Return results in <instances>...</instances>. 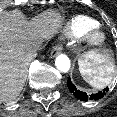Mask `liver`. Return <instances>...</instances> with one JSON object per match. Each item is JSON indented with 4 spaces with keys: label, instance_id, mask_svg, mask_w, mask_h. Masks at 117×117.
I'll list each match as a JSON object with an SVG mask.
<instances>
[{
    "label": "liver",
    "instance_id": "obj_1",
    "mask_svg": "<svg viewBox=\"0 0 117 117\" xmlns=\"http://www.w3.org/2000/svg\"><path fill=\"white\" fill-rule=\"evenodd\" d=\"M63 21L64 17L54 10L30 21L19 10L0 11V102L19 96L35 47L56 34Z\"/></svg>",
    "mask_w": 117,
    "mask_h": 117
}]
</instances>
